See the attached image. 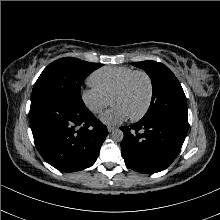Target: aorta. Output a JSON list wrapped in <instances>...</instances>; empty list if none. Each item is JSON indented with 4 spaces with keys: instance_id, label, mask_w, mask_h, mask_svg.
I'll return each instance as SVG.
<instances>
[{
    "instance_id": "762f6f07",
    "label": "aorta",
    "mask_w": 220,
    "mask_h": 220,
    "mask_svg": "<svg viewBox=\"0 0 220 220\" xmlns=\"http://www.w3.org/2000/svg\"><path fill=\"white\" fill-rule=\"evenodd\" d=\"M111 136L113 140L120 142L122 141L124 134L120 129H115L112 131Z\"/></svg>"
}]
</instances>
